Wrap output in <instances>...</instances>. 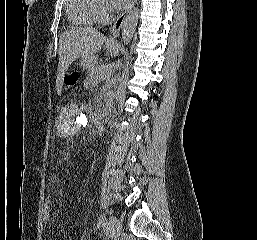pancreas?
Here are the masks:
<instances>
[{
  "label": "pancreas",
  "mask_w": 257,
  "mask_h": 240,
  "mask_svg": "<svg viewBox=\"0 0 257 240\" xmlns=\"http://www.w3.org/2000/svg\"><path fill=\"white\" fill-rule=\"evenodd\" d=\"M110 76L106 65H99L91 68L88 71V76L85 80L86 86H96L101 80Z\"/></svg>",
  "instance_id": "cf45deb5"
}]
</instances>
